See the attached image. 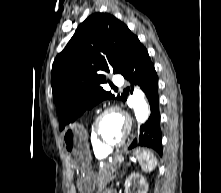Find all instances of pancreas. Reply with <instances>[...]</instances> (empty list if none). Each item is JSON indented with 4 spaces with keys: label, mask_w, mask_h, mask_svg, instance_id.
<instances>
[{
    "label": "pancreas",
    "mask_w": 221,
    "mask_h": 193,
    "mask_svg": "<svg viewBox=\"0 0 221 193\" xmlns=\"http://www.w3.org/2000/svg\"><path fill=\"white\" fill-rule=\"evenodd\" d=\"M114 171V167L109 164H105L99 169L97 176V187L99 190L104 189L106 185L115 178L113 175Z\"/></svg>",
    "instance_id": "cf45deb5"
}]
</instances>
